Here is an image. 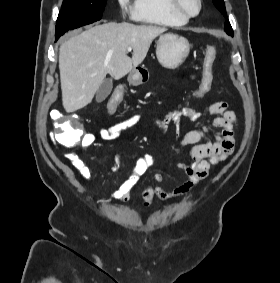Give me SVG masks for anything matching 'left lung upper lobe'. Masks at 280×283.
I'll list each match as a JSON object with an SVG mask.
<instances>
[{
	"label": "left lung upper lobe",
	"instance_id": "5c2ea615",
	"mask_svg": "<svg viewBox=\"0 0 280 283\" xmlns=\"http://www.w3.org/2000/svg\"><path fill=\"white\" fill-rule=\"evenodd\" d=\"M213 3L219 9V11L226 17L224 1L223 0H213ZM224 29L228 35H233V30H232L229 20H226Z\"/></svg>",
	"mask_w": 280,
	"mask_h": 283
}]
</instances>
